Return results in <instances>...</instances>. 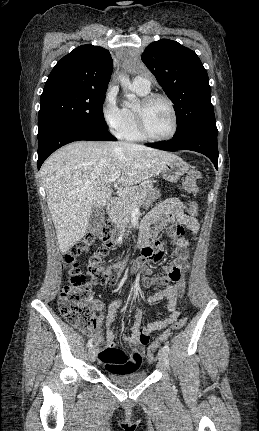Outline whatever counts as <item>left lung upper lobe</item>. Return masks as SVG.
Masks as SVG:
<instances>
[{
  "mask_svg": "<svg viewBox=\"0 0 259 431\" xmlns=\"http://www.w3.org/2000/svg\"><path fill=\"white\" fill-rule=\"evenodd\" d=\"M142 61L175 105V135L196 128L217 131L208 75L194 51L162 39L146 47Z\"/></svg>",
  "mask_w": 259,
  "mask_h": 431,
  "instance_id": "5c2ea615",
  "label": "left lung upper lobe"
}]
</instances>
